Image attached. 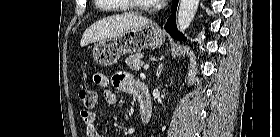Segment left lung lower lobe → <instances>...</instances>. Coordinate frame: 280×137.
Segmentation results:
<instances>
[{"label":"left lung lower lobe","instance_id":"obj_1","mask_svg":"<svg viewBox=\"0 0 280 137\" xmlns=\"http://www.w3.org/2000/svg\"><path fill=\"white\" fill-rule=\"evenodd\" d=\"M178 0L173 1L172 15L169 17L168 22L165 25L166 31L175 39L184 40V36L177 31L176 22H175V10Z\"/></svg>","mask_w":280,"mask_h":137}]
</instances>
